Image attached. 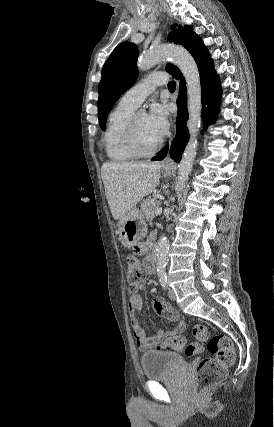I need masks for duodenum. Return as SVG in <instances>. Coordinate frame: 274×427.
Masks as SVG:
<instances>
[{
    "label": "duodenum",
    "mask_w": 274,
    "mask_h": 427,
    "mask_svg": "<svg viewBox=\"0 0 274 427\" xmlns=\"http://www.w3.org/2000/svg\"><path fill=\"white\" fill-rule=\"evenodd\" d=\"M156 253H157L156 245L152 244L148 248V252H147L148 260L152 265H155Z\"/></svg>",
    "instance_id": "1"
}]
</instances>
